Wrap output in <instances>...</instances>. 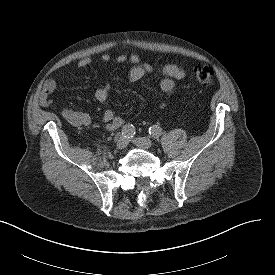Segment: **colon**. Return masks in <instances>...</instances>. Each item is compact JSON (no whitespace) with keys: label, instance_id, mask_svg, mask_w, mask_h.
Returning <instances> with one entry per match:
<instances>
[{"label":"colon","instance_id":"obj_1","mask_svg":"<svg viewBox=\"0 0 275 275\" xmlns=\"http://www.w3.org/2000/svg\"><path fill=\"white\" fill-rule=\"evenodd\" d=\"M195 80L202 86L209 87L213 84L214 71L207 66L197 67L193 72Z\"/></svg>","mask_w":275,"mask_h":275}]
</instances>
